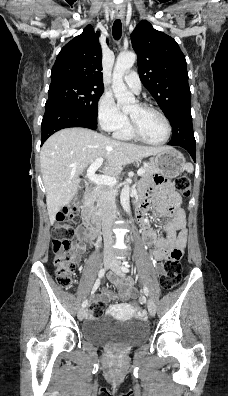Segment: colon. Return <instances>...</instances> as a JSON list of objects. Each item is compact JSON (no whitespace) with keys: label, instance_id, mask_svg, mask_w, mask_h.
Instances as JSON below:
<instances>
[{"label":"colon","instance_id":"5ec220e1","mask_svg":"<svg viewBox=\"0 0 228 396\" xmlns=\"http://www.w3.org/2000/svg\"><path fill=\"white\" fill-rule=\"evenodd\" d=\"M175 188L183 196L190 194L191 183L188 176L183 175L174 182ZM78 211V203H72L66 206L58 213L55 221V237L52 240V252L54 255L53 265L57 282L65 289H69L73 283L75 272V261L73 252L70 250V238L74 235L73 224ZM164 238H171L168 231L163 232ZM182 249L176 246L168 247V255L164 262L163 273L160 277L161 287L165 290H171L179 285L181 279L182 266ZM103 312V304L92 302L89 305L88 314L90 317H99Z\"/></svg>","mask_w":228,"mask_h":396}]
</instances>
